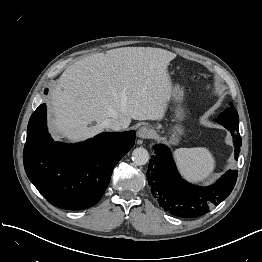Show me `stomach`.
Returning a JSON list of instances; mask_svg holds the SVG:
<instances>
[{
	"mask_svg": "<svg viewBox=\"0 0 262 262\" xmlns=\"http://www.w3.org/2000/svg\"><path fill=\"white\" fill-rule=\"evenodd\" d=\"M183 97H184L183 89L178 85L172 86L171 100L176 105L174 111L176 122H181L185 118L184 109L180 105L183 101ZM183 135H184V128L180 123H177L171 128L169 132V142L173 145H177L180 142Z\"/></svg>",
	"mask_w": 262,
	"mask_h": 262,
	"instance_id": "obj_1",
	"label": "stomach"
}]
</instances>
